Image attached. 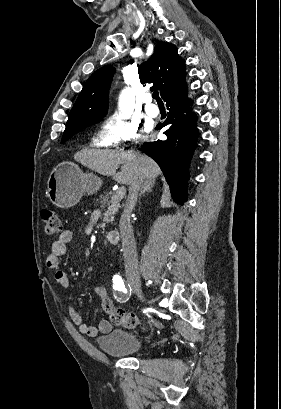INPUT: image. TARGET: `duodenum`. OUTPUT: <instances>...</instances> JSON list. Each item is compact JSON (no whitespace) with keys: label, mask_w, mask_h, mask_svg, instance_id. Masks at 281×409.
Instances as JSON below:
<instances>
[{"label":"duodenum","mask_w":281,"mask_h":409,"mask_svg":"<svg viewBox=\"0 0 281 409\" xmlns=\"http://www.w3.org/2000/svg\"><path fill=\"white\" fill-rule=\"evenodd\" d=\"M120 237H121L120 233L116 230H112L107 233V241L111 245L118 244L120 241Z\"/></svg>","instance_id":"410a0bca"}]
</instances>
